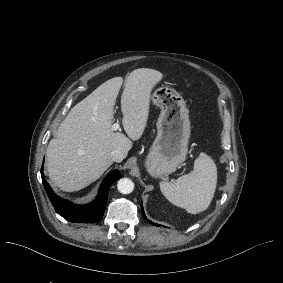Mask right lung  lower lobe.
<instances>
[{
	"label": "right lung lower lobe",
	"instance_id": "1",
	"mask_svg": "<svg viewBox=\"0 0 283 283\" xmlns=\"http://www.w3.org/2000/svg\"><path fill=\"white\" fill-rule=\"evenodd\" d=\"M41 177L47 195L59 215L70 222L96 223L103 217L110 185L121 176L118 171H111L103 180L97 199L94 202L83 206H78L67 200L61 199L53 193L51 187L44 178L43 164L41 167Z\"/></svg>",
	"mask_w": 283,
	"mask_h": 283
}]
</instances>
